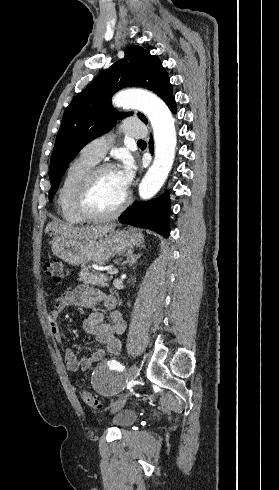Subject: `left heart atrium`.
I'll return each mask as SVG.
<instances>
[{"label":"left heart atrium","mask_w":279,"mask_h":490,"mask_svg":"<svg viewBox=\"0 0 279 490\" xmlns=\"http://www.w3.org/2000/svg\"><path fill=\"white\" fill-rule=\"evenodd\" d=\"M115 172L122 193L127 194L135 174V166L133 162L126 159L123 165L116 169Z\"/></svg>","instance_id":"left-heart-atrium-1"}]
</instances>
